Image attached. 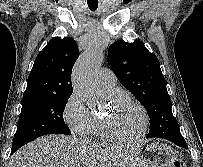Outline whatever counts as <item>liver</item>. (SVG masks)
<instances>
[{
  "label": "liver",
  "mask_w": 203,
  "mask_h": 167,
  "mask_svg": "<svg viewBox=\"0 0 203 167\" xmlns=\"http://www.w3.org/2000/svg\"><path fill=\"white\" fill-rule=\"evenodd\" d=\"M132 152L76 137L47 135L15 152L8 167H129Z\"/></svg>",
  "instance_id": "obj_1"
}]
</instances>
